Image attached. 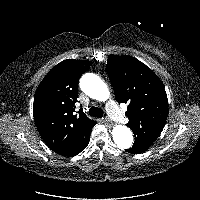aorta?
I'll use <instances>...</instances> for the list:
<instances>
[{
    "label": "aorta",
    "instance_id": "aorta-1",
    "mask_svg": "<svg viewBox=\"0 0 200 200\" xmlns=\"http://www.w3.org/2000/svg\"><path fill=\"white\" fill-rule=\"evenodd\" d=\"M81 90L89 97L105 101L109 97L106 83L96 74L86 73L80 79ZM115 144L121 149H128L133 144L132 131L123 125H116L112 130Z\"/></svg>",
    "mask_w": 200,
    "mask_h": 200
}]
</instances>
